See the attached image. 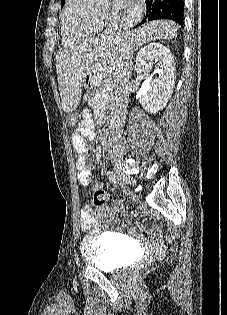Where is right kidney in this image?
I'll return each mask as SVG.
<instances>
[{"instance_id": "obj_1", "label": "right kidney", "mask_w": 227, "mask_h": 315, "mask_svg": "<svg viewBox=\"0 0 227 315\" xmlns=\"http://www.w3.org/2000/svg\"><path fill=\"white\" fill-rule=\"evenodd\" d=\"M135 71L146 74L153 64L158 74L149 81V93H139L137 99L149 113L155 114L166 107L175 84V63L170 50L160 43H149L139 50L135 61Z\"/></svg>"}]
</instances>
